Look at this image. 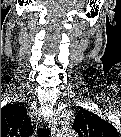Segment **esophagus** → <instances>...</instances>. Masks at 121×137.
<instances>
[{
	"instance_id": "1",
	"label": "esophagus",
	"mask_w": 121,
	"mask_h": 137,
	"mask_svg": "<svg viewBox=\"0 0 121 137\" xmlns=\"http://www.w3.org/2000/svg\"><path fill=\"white\" fill-rule=\"evenodd\" d=\"M50 126H51L52 132H55V125H54L53 121H51V120H50Z\"/></svg>"
}]
</instances>
